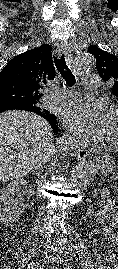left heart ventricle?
Masks as SVG:
<instances>
[{
    "label": "left heart ventricle",
    "mask_w": 118,
    "mask_h": 269,
    "mask_svg": "<svg viewBox=\"0 0 118 269\" xmlns=\"http://www.w3.org/2000/svg\"><path fill=\"white\" fill-rule=\"evenodd\" d=\"M105 140L118 142V113L112 112L111 118L108 124Z\"/></svg>",
    "instance_id": "obj_1"
}]
</instances>
